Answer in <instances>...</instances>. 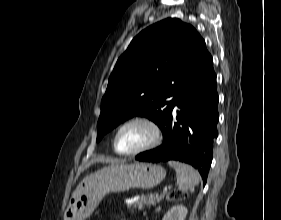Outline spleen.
<instances>
[{
    "label": "spleen",
    "mask_w": 281,
    "mask_h": 220,
    "mask_svg": "<svg viewBox=\"0 0 281 220\" xmlns=\"http://www.w3.org/2000/svg\"><path fill=\"white\" fill-rule=\"evenodd\" d=\"M170 167L176 171L177 182L181 191L195 187L200 182V174L192 166L178 161H169Z\"/></svg>",
    "instance_id": "1"
}]
</instances>
